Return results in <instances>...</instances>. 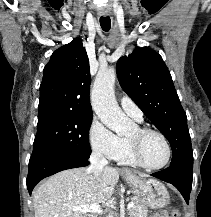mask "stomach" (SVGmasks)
Listing matches in <instances>:
<instances>
[{
    "instance_id": "0dacf381",
    "label": "stomach",
    "mask_w": 211,
    "mask_h": 217,
    "mask_svg": "<svg viewBox=\"0 0 211 217\" xmlns=\"http://www.w3.org/2000/svg\"><path fill=\"white\" fill-rule=\"evenodd\" d=\"M128 183L144 197L146 204L154 209L165 207L170 200L169 193L161 182L154 179H144L131 172H124Z\"/></svg>"
}]
</instances>
